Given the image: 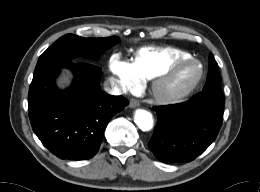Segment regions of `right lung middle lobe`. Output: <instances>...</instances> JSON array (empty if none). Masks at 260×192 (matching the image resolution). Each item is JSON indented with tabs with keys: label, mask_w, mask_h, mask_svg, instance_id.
Listing matches in <instances>:
<instances>
[{
	"label": "right lung middle lobe",
	"mask_w": 260,
	"mask_h": 192,
	"mask_svg": "<svg viewBox=\"0 0 260 192\" xmlns=\"http://www.w3.org/2000/svg\"><path fill=\"white\" fill-rule=\"evenodd\" d=\"M118 41L119 38L115 36L96 39L66 34L59 38L39 57L34 73L51 64L70 61L71 58L82 54L97 56Z\"/></svg>",
	"instance_id": "obj_1"
}]
</instances>
